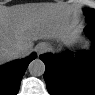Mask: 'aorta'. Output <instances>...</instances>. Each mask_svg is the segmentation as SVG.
Segmentation results:
<instances>
[{"label":"aorta","mask_w":95,"mask_h":95,"mask_svg":"<svg viewBox=\"0 0 95 95\" xmlns=\"http://www.w3.org/2000/svg\"><path fill=\"white\" fill-rule=\"evenodd\" d=\"M29 73L32 76H41L45 72V64L40 59H35L28 66Z\"/></svg>","instance_id":"1"}]
</instances>
